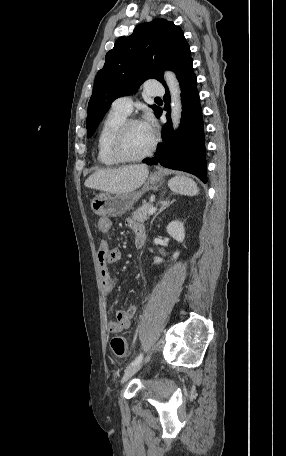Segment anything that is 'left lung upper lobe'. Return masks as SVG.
I'll return each instance as SVG.
<instances>
[{
  "mask_svg": "<svg viewBox=\"0 0 286 456\" xmlns=\"http://www.w3.org/2000/svg\"><path fill=\"white\" fill-rule=\"evenodd\" d=\"M190 60L191 52L183 31L165 19L142 23L128 37H120L106 54L104 67L95 78L88 104L87 136L93 135L116 98L131 94L150 78L166 86L165 68L177 74ZM150 107L157 113L158 106Z\"/></svg>",
  "mask_w": 286,
  "mask_h": 456,
  "instance_id": "5c2ea615",
  "label": "left lung upper lobe"
}]
</instances>
